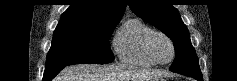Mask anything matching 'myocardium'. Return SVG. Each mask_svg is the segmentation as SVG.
Instances as JSON below:
<instances>
[{"label": "myocardium", "instance_id": "myocardium-1", "mask_svg": "<svg viewBox=\"0 0 237 81\" xmlns=\"http://www.w3.org/2000/svg\"><path fill=\"white\" fill-rule=\"evenodd\" d=\"M157 37H162V38L166 39L171 46V50H172L171 57L169 58V60H167L165 62L159 61L157 59L155 51H154V41ZM146 46H147L148 54L151 57V59L155 62V64L165 66V65L170 64L174 60L175 45H174L173 40L165 33L161 32V31H153L147 38Z\"/></svg>", "mask_w": 237, "mask_h": 81}]
</instances>
